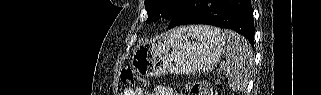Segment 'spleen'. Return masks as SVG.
Segmentation results:
<instances>
[{
  "instance_id": "3e777b00",
  "label": "spleen",
  "mask_w": 321,
  "mask_h": 95,
  "mask_svg": "<svg viewBox=\"0 0 321 95\" xmlns=\"http://www.w3.org/2000/svg\"><path fill=\"white\" fill-rule=\"evenodd\" d=\"M204 34L217 36L224 42L226 56L225 76L233 90L246 88L249 71L253 65V51L248 41L233 31L221 32L218 28L199 26Z\"/></svg>"
}]
</instances>
